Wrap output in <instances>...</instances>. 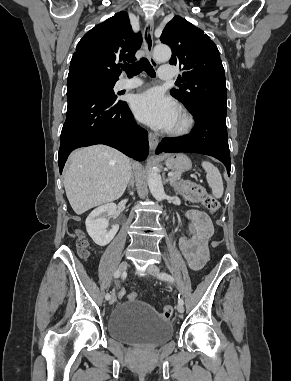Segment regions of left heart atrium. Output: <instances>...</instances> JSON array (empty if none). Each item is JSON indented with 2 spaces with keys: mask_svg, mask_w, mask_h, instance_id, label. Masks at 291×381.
<instances>
[{
  "mask_svg": "<svg viewBox=\"0 0 291 381\" xmlns=\"http://www.w3.org/2000/svg\"><path fill=\"white\" fill-rule=\"evenodd\" d=\"M131 108L136 117L154 129L173 127L179 109L176 103L158 89H150L132 98Z\"/></svg>",
  "mask_w": 291,
  "mask_h": 381,
  "instance_id": "1",
  "label": "left heart atrium"
}]
</instances>
